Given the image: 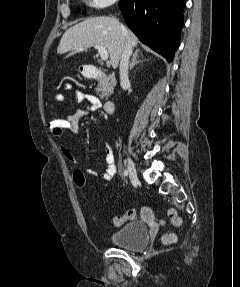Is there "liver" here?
Instances as JSON below:
<instances>
[{
  "instance_id": "obj_1",
  "label": "liver",
  "mask_w": 240,
  "mask_h": 287,
  "mask_svg": "<svg viewBox=\"0 0 240 287\" xmlns=\"http://www.w3.org/2000/svg\"><path fill=\"white\" fill-rule=\"evenodd\" d=\"M122 24L113 17L99 16L86 19L70 27L62 36L57 48L58 54L69 51H78V48H89L101 45L110 55V63L115 68L118 66L121 54L126 44V37L132 46L138 44V38L131 31H122Z\"/></svg>"
}]
</instances>
